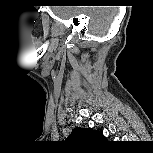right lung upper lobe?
Listing matches in <instances>:
<instances>
[{
    "label": "right lung upper lobe",
    "instance_id": "cb5924a9",
    "mask_svg": "<svg viewBox=\"0 0 153 153\" xmlns=\"http://www.w3.org/2000/svg\"><path fill=\"white\" fill-rule=\"evenodd\" d=\"M67 140L75 144L90 146L105 141V137L102 133L90 128H74Z\"/></svg>",
    "mask_w": 153,
    "mask_h": 153
}]
</instances>
